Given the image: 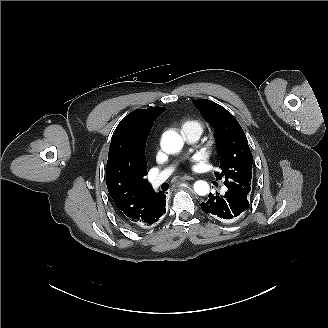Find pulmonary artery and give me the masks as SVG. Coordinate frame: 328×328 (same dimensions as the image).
Segmentation results:
<instances>
[{
  "mask_svg": "<svg viewBox=\"0 0 328 328\" xmlns=\"http://www.w3.org/2000/svg\"><path fill=\"white\" fill-rule=\"evenodd\" d=\"M185 139L187 142L192 143L198 140V135L197 134H187L185 136ZM172 170V167H167L165 170H163L160 173H157L155 175H152L149 177V183L153 188H158L160 184L168 177Z\"/></svg>",
  "mask_w": 328,
  "mask_h": 328,
  "instance_id": "pulmonary-artery-1",
  "label": "pulmonary artery"
}]
</instances>
